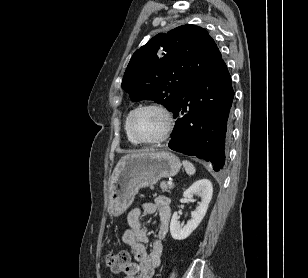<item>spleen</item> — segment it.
<instances>
[{
  "mask_svg": "<svg viewBox=\"0 0 308 278\" xmlns=\"http://www.w3.org/2000/svg\"><path fill=\"white\" fill-rule=\"evenodd\" d=\"M182 164H183V167L185 168V171L188 175L191 176L196 172V169L191 162L185 160V161L182 162Z\"/></svg>",
  "mask_w": 308,
  "mask_h": 278,
  "instance_id": "spleen-1",
  "label": "spleen"
}]
</instances>
